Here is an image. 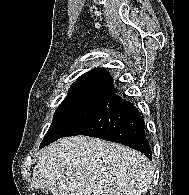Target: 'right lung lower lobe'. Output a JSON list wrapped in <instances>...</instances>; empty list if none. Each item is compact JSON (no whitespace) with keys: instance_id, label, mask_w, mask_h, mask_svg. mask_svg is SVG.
<instances>
[{"instance_id":"right-lung-lower-lobe-1","label":"right lung lower lobe","mask_w":189,"mask_h":195,"mask_svg":"<svg viewBox=\"0 0 189 195\" xmlns=\"http://www.w3.org/2000/svg\"><path fill=\"white\" fill-rule=\"evenodd\" d=\"M144 125V120L133 103L112 94L76 131L67 136L87 135L121 143L152 159Z\"/></svg>"}]
</instances>
